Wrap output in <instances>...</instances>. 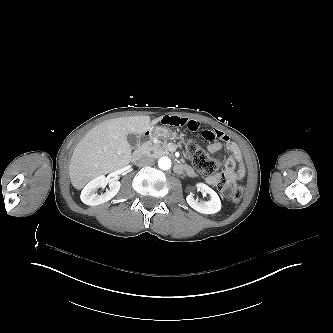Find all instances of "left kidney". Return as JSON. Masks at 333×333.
<instances>
[{
  "label": "left kidney",
  "instance_id": "5707ae66",
  "mask_svg": "<svg viewBox=\"0 0 333 333\" xmlns=\"http://www.w3.org/2000/svg\"><path fill=\"white\" fill-rule=\"evenodd\" d=\"M205 190L209 194V200L207 201H198L193 197L192 194H189L186 198L188 205L195 211L202 214H215L221 210V200L218 194L211 188L205 187Z\"/></svg>",
  "mask_w": 333,
  "mask_h": 333
}]
</instances>
